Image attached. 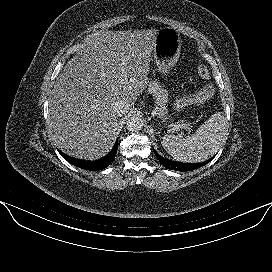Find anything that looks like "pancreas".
Wrapping results in <instances>:
<instances>
[{
  "label": "pancreas",
  "instance_id": "cf45deb5",
  "mask_svg": "<svg viewBox=\"0 0 272 272\" xmlns=\"http://www.w3.org/2000/svg\"><path fill=\"white\" fill-rule=\"evenodd\" d=\"M148 91L153 94L156 99V116L163 120L167 119V90L163 88L157 81H151L148 84Z\"/></svg>",
  "mask_w": 272,
  "mask_h": 272
}]
</instances>
